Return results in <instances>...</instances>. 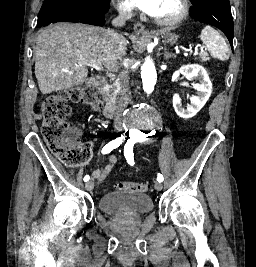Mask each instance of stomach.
Returning <instances> with one entry per match:
<instances>
[{
	"label": "stomach",
	"mask_w": 256,
	"mask_h": 267,
	"mask_svg": "<svg viewBox=\"0 0 256 267\" xmlns=\"http://www.w3.org/2000/svg\"><path fill=\"white\" fill-rule=\"evenodd\" d=\"M178 36L172 34V32H163V40L166 44H176Z\"/></svg>",
	"instance_id": "stomach-1"
}]
</instances>
